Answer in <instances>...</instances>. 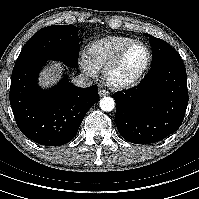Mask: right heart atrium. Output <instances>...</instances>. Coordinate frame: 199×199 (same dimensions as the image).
Here are the masks:
<instances>
[{
    "label": "right heart atrium",
    "mask_w": 199,
    "mask_h": 199,
    "mask_svg": "<svg viewBox=\"0 0 199 199\" xmlns=\"http://www.w3.org/2000/svg\"><path fill=\"white\" fill-rule=\"evenodd\" d=\"M79 65L81 69L84 71V73H86L87 75L91 77L96 76L99 72L98 69L92 63V61L90 60V58L85 54H82L80 56Z\"/></svg>",
    "instance_id": "right-heart-atrium-1"
}]
</instances>
